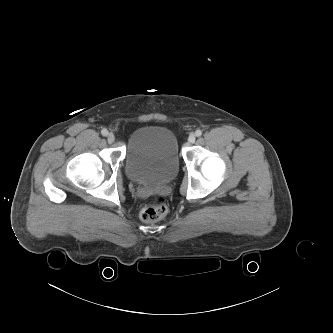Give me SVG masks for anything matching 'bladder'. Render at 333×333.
I'll return each instance as SVG.
<instances>
[{"mask_svg": "<svg viewBox=\"0 0 333 333\" xmlns=\"http://www.w3.org/2000/svg\"><path fill=\"white\" fill-rule=\"evenodd\" d=\"M179 165L178 139L173 129L144 125L129 136L124 166L132 181L167 183L176 176Z\"/></svg>", "mask_w": 333, "mask_h": 333, "instance_id": "bladder-1", "label": "bladder"}]
</instances>
